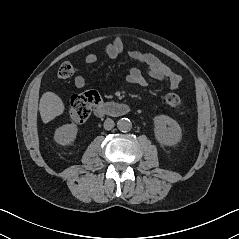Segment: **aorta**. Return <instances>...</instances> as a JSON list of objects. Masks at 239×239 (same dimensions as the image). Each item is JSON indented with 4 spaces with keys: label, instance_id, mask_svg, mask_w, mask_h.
I'll return each instance as SVG.
<instances>
[{
    "label": "aorta",
    "instance_id": "762f6f07",
    "mask_svg": "<svg viewBox=\"0 0 239 239\" xmlns=\"http://www.w3.org/2000/svg\"><path fill=\"white\" fill-rule=\"evenodd\" d=\"M117 128L121 132H128L132 129V122L128 118H121L117 122Z\"/></svg>",
    "mask_w": 239,
    "mask_h": 239
}]
</instances>
